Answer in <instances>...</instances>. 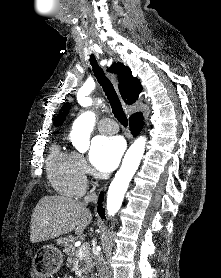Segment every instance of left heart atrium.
<instances>
[{
    "label": "left heart atrium",
    "mask_w": 221,
    "mask_h": 278,
    "mask_svg": "<svg viewBox=\"0 0 221 278\" xmlns=\"http://www.w3.org/2000/svg\"><path fill=\"white\" fill-rule=\"evenodd\" d=\"M124 144L120 137L98 136L93 139L89 160L100 173H110L118 165Z\"/></svg>",
    "instance_id": "39dd6f15"
}]
</instances>
